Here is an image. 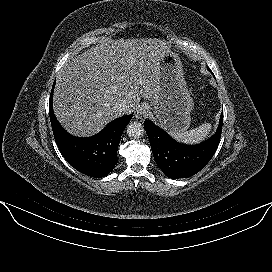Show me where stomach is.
Masks as SVG:
<instances>
[{
  "label": "stomach",
  "instance_id": "0dacf381",
  "mask_svg": "<svg viewBox=\"0 0 272 272\" xmlns=\"http://www.w3.org/2000/svg\"><path fill=\"white\" fill-rule=\"evenodd\" d=\"M182 62L170 49L160 61L158 92L146 106L159 124L170 132L186 131L193 100L184 79Z\"/></svg>",
  "mask_w": 272,
  "mask_h": 272
}]
</instances>
